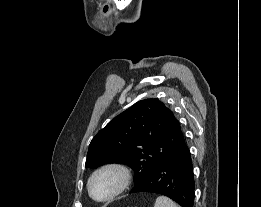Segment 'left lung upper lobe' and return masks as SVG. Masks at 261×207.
<instances>
[{
	"mask_svg": "<svg viewBox=\"0 0 261 207\" xmlns=\"http://www.w3.org/2000/svg\"><path fill=\"white\" fill-rule=\"evenodd\" d=\"M180 123L158 99H145L116 116L92 139L86 167L122 163L134 170V185L180 148Z\"/></svg>",
	"mask_w": 261,
	"mask_h": 207,
	"instance_id": "obj_1",
	"label": "left lung upper lobe"
}]
</instances>
